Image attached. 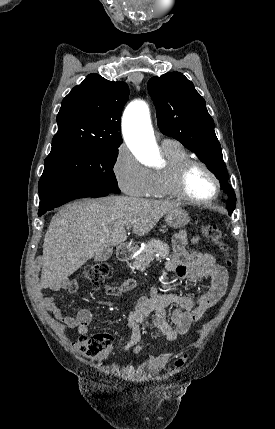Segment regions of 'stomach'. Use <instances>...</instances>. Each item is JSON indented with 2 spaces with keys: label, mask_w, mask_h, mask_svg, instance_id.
Segmentation results:
<instances>
[{
  "label": "stomach",
  "mask_w": 275,
  "mask_h": 429,
  "mask_svg": "<svg viewBox=\"0 0 275 429\" xmlns=\"http://www.w3.org/2000/svg\"><path fill=\"white\" fill-rule=\"evenodd\" d=\"M165 222L170 227L182 228L188 224L189 216L184 209L178 207L166 213Z\"/></svg>",
  "instance_id": "obj_1"
}]
</instances>
